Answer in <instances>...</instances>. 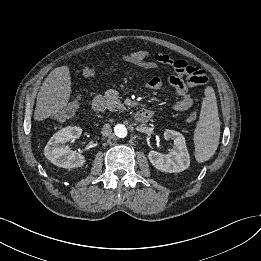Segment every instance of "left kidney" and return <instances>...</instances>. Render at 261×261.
Masks as SVG:
<instances>
[{"label": "left kidney", "instance_id": "1", "mask_svg": "<svg viewBox=\"0 0 261 261\" xmlns=\"http://www.w3.org/2000/svg\"><path fill=\"white\" fill-rule=\"evenodd\" d=\"M164 138L166 140L172 139L174 146L167 155L151 150L148 158L152 165L157 170L167 173H177L186 170L190 165V156L184 136L177 131L167 129L164 132Z\"/></svg>", "mask_w": 261, "mask_h": 261}]
</instances>
